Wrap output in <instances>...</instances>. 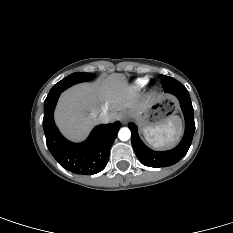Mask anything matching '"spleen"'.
I'll return each instance as SVG.
<instances>
[{
  "mask_svg": "<svg viewBox=\"0 0 233 233\" xmlns=\"http://www.w3.org/2000/svg\"><path fill=\"white\" fill-rule=\"evenodd\" d=\"M181 131V120L172 116L166 123L143 129L147 142L154 148H163L173 144Z\"/></svg>",
  "mask_w": 233,
  "mask_h": 233,
  "instance_id": "1",
  "label": "spleen"
}]
</instances>
